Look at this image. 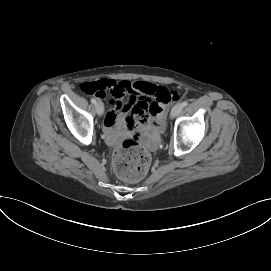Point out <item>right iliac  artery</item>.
Returning <instances> with one entry per match:
<instances>
[{"mask_svg": "<svg viewBox=\"0 0 271 271\" xmlns=\"http://www.w3.org/2000/svg\"><path fill=\"white\" fill-rule=\"evenodd\" d=\"M91 102H92L93 104H96V100H95L94 98L91 99Z\"/></svg>", "mask_w": 271, "mask_h": 271, "instance_id": "right-iliac-artery-1", "label": "right iliac artery"}]
</instances>
